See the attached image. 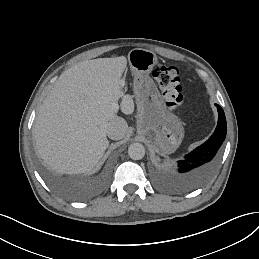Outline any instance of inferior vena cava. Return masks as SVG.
<instances>
[{"label":"inferior vena cava","instance_id":"obj_1","mask_svg":"<svg viewBox=\"0 0 259 259\" xmlns=\"http://www.w3.org/2000/svg\"><path fill=\"white\" fill-rule=\"evenodd\" d=\"M127 122L123 118H117L107 124L106 133L112 140L123 139L127 133Z\"/></svg>","mask_w":259,"mask_h":259}]
</instances>
